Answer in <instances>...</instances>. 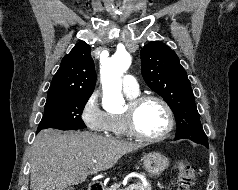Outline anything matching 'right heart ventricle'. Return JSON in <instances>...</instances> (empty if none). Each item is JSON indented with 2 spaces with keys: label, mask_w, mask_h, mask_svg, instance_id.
I'll return each mask as SVG.
<instances>
[{
  "label": "right heart ventricle",
  "mask_w": 238,
  "mask_h": 190,
  "mask_svg": "<svg viewBox=\"0 0 238 190\" xmlns=\"http://www.w3.org/2000/svg\"><path fill=\"white\" fill-rule=\"evenodd\" d=\"M126 94L130 99L138 95V93L136 94L126 93ZM109 132H111L116 136L129 135L123 118V113L109 114Z\"/></svg>",
  "instance_id": "e07e8e85"
}]
</instances>
